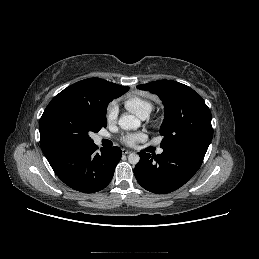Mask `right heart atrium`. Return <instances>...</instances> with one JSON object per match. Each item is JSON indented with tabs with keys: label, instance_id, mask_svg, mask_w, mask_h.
Wrapping results in <instances>:
<instances>
[{
	"label": "right heart atrium",
	"instance_id": "d8ad5b80",
	"mask_svg": "<svg viewBox=\"0 0 259 259\" xmlns=\"http://www.w3.org/2000/svg\"><path fill=\"white\" fill-rule=\"evenodd\" d=\"M118 114V107L115 101H112L108 104L106 109V117L109 122L115 121Z\"/></svg>",
	"mask_w": 259,
	"mask_h": 259
}]
</instances>
